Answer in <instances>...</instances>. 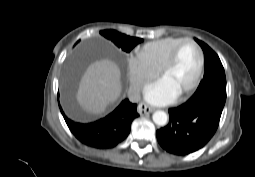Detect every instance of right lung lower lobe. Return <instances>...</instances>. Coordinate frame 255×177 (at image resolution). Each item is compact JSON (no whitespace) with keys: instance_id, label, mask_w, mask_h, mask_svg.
<instances>
[{"instance_id":"1","label":"right lung lower lobe","mask_w":255,"mask_h":177,"mask_svg":"<svg viewBox=\"0 0 255 177\" xmlns=\"http://www.w3.org/2000/svg\"><path fill=\"white\" fill-rule=\"evenodd\" d=\"M61 113L73 135L83 144L97 148L110 149L122 142L130 133L132 121L139 116L137 105L124 100L112 113L91 123L75 122Z\"/></svg>"}]
</instances>
